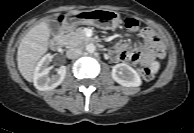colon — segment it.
<instances>
[{"label":"colon","mask_w":194,"mask_h":133,"mask_svg":"<svg viewBox=\"0 0 194 133\" xmlns=\"http://www.w3.org/2000/svg\"><path fill=\"white\" fill-rule=\"evenodd\" d=\"M124 25L130 31H137L139 28V22L134 18H127ZM141 75L144 80L149 81L154 77V72L149 66H143L141 68Z\"/></svg>","instance_id":"colon-1"}]
</instances>
